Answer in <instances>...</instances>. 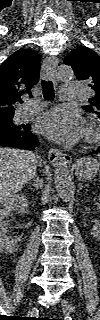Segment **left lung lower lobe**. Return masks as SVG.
<instances>
[{
    "label": "left lung lower lobe",
    "instance_id": "1",
    "mask_svg": "<svg viewBox=\"0 0 100 320\" xmlns=\"http://www.w3.org/2000/svg\"><path fill=\"white\" fill-rule=\"evenodd\" d=\"M95 153H100V147L96 151L90 152L89 154H95Z\"/></svg>",
    "mask_w": 100,
    "mask_h": 320
}]
</instances>
